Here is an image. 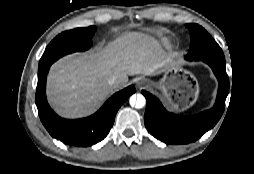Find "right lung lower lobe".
<instances>
[{"label": "right lung lower lobe", "instance_id": "obj_1", "mask_svg": "<svg viewBox=\"0 0 254 174\" xmlns=\"http://www.w3.org/2000/svg\"><path fill=\"white\" fill-rule=\"evenodd\" d=\"M50 66L38 73L36 106L39 117L50 135L64 144L87 147L103 140L113 126L120 106L136 90L129 86L115 93L94 115L78 120H66L57 116L46 100V78Z\"/></svg>", "mask_w": 254, "mask_h": 174}]
</instances>
